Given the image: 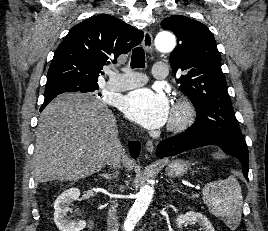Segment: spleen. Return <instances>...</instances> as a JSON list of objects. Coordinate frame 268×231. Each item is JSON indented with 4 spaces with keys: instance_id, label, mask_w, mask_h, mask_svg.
Instances as JSON below:
<instances>
[{
    "instance_id": "3e777b00",
    "label": "spleen",
    "mask_w": 268,
    "mask_h": 231,
    "mask_svg": "<svg viewBox=\"0 0 268 231\" xmlns=\"http://www.w3.org/2000/svg\"><path fill=\"white\" fill-rule=\"evenodd\" d=\"M202 194L204 203L213 215L222 218L229 228L238 227L241 222L243 196L234 176L206 184Z\"/></svg>"
}]
</instances>
